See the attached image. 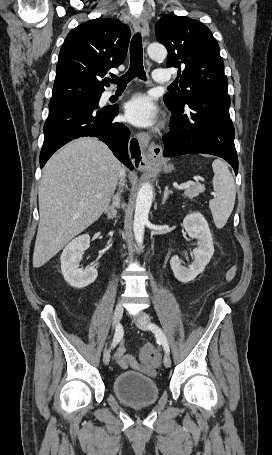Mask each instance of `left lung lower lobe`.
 <instances>
[{"mask_svg":"<svg viewBox=\"0 0 272 455\" xmlns=\"http://www.w3.org/2000/svg\"><path fill=\"white\" fill-rule=\"evenodd\" d=\"M166 105L174 116L170 132L163 136L165 157L211 154L225 159L237 175L238 157L235 130L229 115V95L207 94L184 106Z\"/></svg>","mask_w":272,"mask_h":455,"instance_id":"obj_1","label":"left lung lower lobe"}]
</instances>
